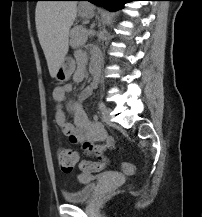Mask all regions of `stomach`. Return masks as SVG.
<instances>
[{"instance_id":"obj_1","label":"stomach","mask_w":202,"mask_h":217,"mask_svg":"<svg viewBox=\"0 0 202 217\" xmlns=\"http://www.w3.org/2000/svg\"><path fill=\"white\" fill-rule=\"evenodd\" d=\"M79 14L82 17H86V18L92 17L93 9L91 7L81 8L79 10ZM74 70H75V65H74L73 61H71L69 59H64V61L62 62V64L60 65V67L57 70L55 78L59 82H65V81L70 79Z\"/></svg>"}]
</instances>
